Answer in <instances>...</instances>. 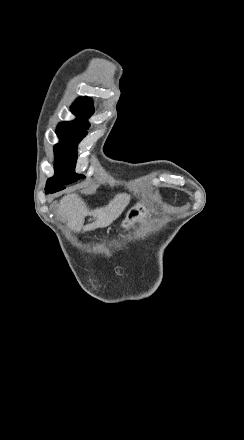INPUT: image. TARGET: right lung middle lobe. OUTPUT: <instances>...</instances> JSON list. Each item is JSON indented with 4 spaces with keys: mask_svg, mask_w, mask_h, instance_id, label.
I'll return each mask as SVG.
<instances>
[{
    "mask_svg": "<svg viewBox=\"0 0 244 440\" xmlns=\"http://www.w3.org/2000/svg\"><path fill=\"white\" fill-rule=\"evenodd\" d=\"M94 110H73L78 117L75 121L62 122L56 134L61 140L55 145V176L47 180L46 185H68L85 176L75 173L77 144L87 135L90 124L86 121Z\"/></svg>",
    "mask_w": 244,
    "mask_h": 440,
    "instance_id": "1",
    "label": "right lung middle lobe"
}]
</instances>
